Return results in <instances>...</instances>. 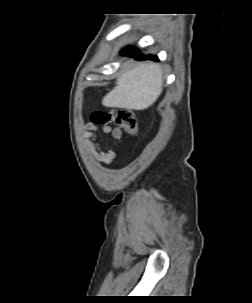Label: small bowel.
I'll list each match as a JSON object with an SVG mask.
<instances>
[{"instance_id":"obj_1","label":"small bowel","mask_w":252,"mask_h":303,"mask_svg":"<svg viewBox=\"0 0 252 303\" xmlns=\"http://www.w3.org/2000/svg\"><path fill=\"white\" fill-rule=\"evenodd\" d=\"M95 131L96 127L93 125H85L83 128V143L95 160L104 164H110L113 162L119 151L116 149L102 148L101 145L94 139ZM102 131L106 134L110 133L111 136L117 140L123 137V132L119 128L105 126Z\"/></svg>"}]
</instances>
